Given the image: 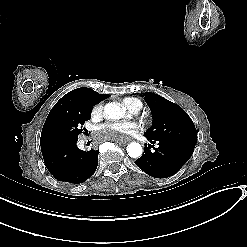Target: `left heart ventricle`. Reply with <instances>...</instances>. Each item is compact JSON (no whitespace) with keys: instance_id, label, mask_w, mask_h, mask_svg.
Here are the masks:
<instances>
[{"instance_id":"1","label":"left heart ventricle","mask_w":247,"mask_h":247,"mask_svg":"<svg viewBox=\"0 0 247 247\" xmlns=\"http://www.w3.org/2000/svg\"><path fill=\"white\" fill-rule=\"evenodd\" d=\"M129 122H130L129 118H126V119H123L122 121H120L119 123H121V124H127ZM127 138H130V136L127 135Z\"/></svg>"}]
</instances>
